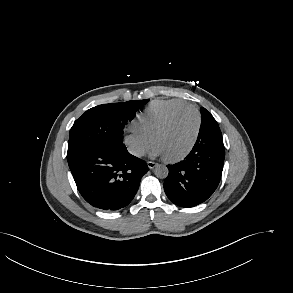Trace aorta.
Here are the masks:
<instances>
[{
    "instance_id": "762f6f07",
    "label": "aorta",
    "mask_w": 293,
    "mask_h": 293,
    "mask_svg": "<svg viewBox=\"0 0 293 293\" xmlns=\"http://www.w3.org/2000/svg\"><path fill=\"white\" fill-rule=\"evenodd\" d=\"M155 176L158 178H166L168 176V168L165 165H157L154 169Z\"/></svg>"
}]
</instances>
